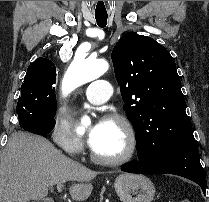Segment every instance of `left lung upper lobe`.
<instances>
[{"mask_svg":"<svg viewBox=\"0 0 209 202\" xmlns=\"http://www.w3.org/2000/svg\"><path fill=\"white\" fill-rule=\"evenodd\" d=\"M111 57L137 150L159 157L193 136L176 64L164 46L147 36L126 34Z\"/></svg>","mask_w":209,"mask_h":202,"instance_id":"obj_1","label":"left lung upper lobe"}]
</instances>
